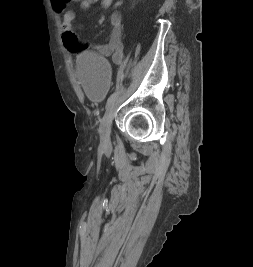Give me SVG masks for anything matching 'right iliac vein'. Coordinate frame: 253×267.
<instances>
[{"instance_id": "63e3f726", "label": "right iliac vein", "mask_w": 253, "mask_h": 267, "mask_svg": "<svg viewBox=\"0 0 253 267\" xmlns=\"http://www.w3.org/2000/svg\"><path fill=\"white\" fill-rule=\"evenodd\" d=\"M116 109H117V104H116V99H115V101L112 102L108 106L102 118V121L100 123L99 135H100L101 142L104 145H107L110 143L111 123L114 118Z\"/></svg>"}]
</instances>
